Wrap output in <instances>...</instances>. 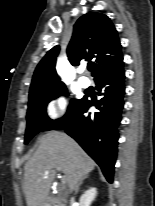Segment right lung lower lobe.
<instances>
[{
    "label": "right lung lower lobe",
    "instance_id": "right-lung-lower-lobe-1",
    "mask_svg": "<svg viewBox=\"0 0 155 206\" xmlns=\"http://www.w3.org/2000/svg\"><path fill=\"white\" fill-rule=\"evenodd\" d=\"M123 58L118 64L95 80L98 95L96 105L99 112L91 114V103L82 98L73 111L52 130H65L101 167L109 183L113 181L117 153V127L121 121L123 96L125 93Z\"/></svg>",
    "mask_w": 155,
    "mask_h": 206
}]
</instances>
